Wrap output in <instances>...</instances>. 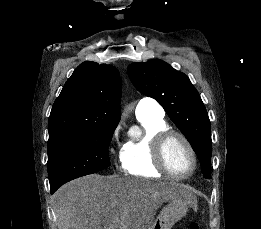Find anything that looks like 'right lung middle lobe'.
<instances>
[{
    "label": "right lung middle lobe",
    "mask_w": 261,
    "mask_h": 229,
    "mask_svg": "<svg viewBox=\"0 0 261 229\" xmlns=\"http://www.w3.org/2000/svg\"><path fill=\"white\" fill-rule=\"evenodd\" d=\"M117 125L94 126L70 139L48 146L50 189L110 165L108 147Z\"/></svg>",
    "instance_id": "1"
}]
</instances>
